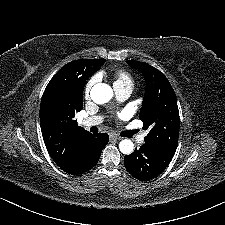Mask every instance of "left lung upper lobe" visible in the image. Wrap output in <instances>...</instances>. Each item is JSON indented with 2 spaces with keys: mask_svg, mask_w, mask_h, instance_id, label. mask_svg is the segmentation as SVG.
I'll return each mask as SVG.
<instances>
[{
  "mask_svg": "<svg viewBox=\"0 0 225 225\" xmlns=\"http://www.w3.org/2000/svg\"><path fill=\"white\" fill-rule=\"evenodd\" d=\"M127 63L144 75L146 91L139 114L143 129L149 130L145 143L176 151L180 118L175 92L162 72L143 62Z\"/></svg>",
  "mask_w": 225,
  "mask_h": 225,
  "instance_id": "1",
  "label": "left lung upper lobe"
}]
</instances>
